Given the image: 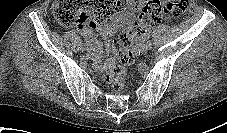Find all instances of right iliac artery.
Segmentation results:
<instances>
[{"label": "right iliac artery", "instance_id": "right-iliac-artery-1", "mask_svg": "<svg viewBox=\"0 0 227 133\" xmlns=\"http://www.w3.org/2000/svg\"><path fill=\"white\" fill-rule=\"evenodd\" d=\"M83 45H84V43H82V45H81V49H82Z\"/></svg>", "mask_w": 227, "mask_h": 133}]
</instances>
